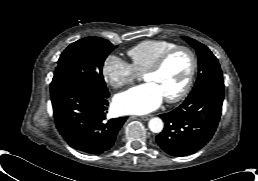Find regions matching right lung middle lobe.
I'll use <instances>...</instances> for the list:
<instances>
[{
    "label": "right lung middle lobe",
    "instance_id": "obj_1",
    "mask_svg": "<svg viewBox=\"0 0 258 181\" xmlns=\"http://www.w3.org/2000/svg\"><path fill=\"white\" fill-rule=\"evenodd\" d=\"M115 48L100 37H86L70 44L58 60L52 81H68L98 97H109L102 67L108 54Z\"/></svg>",
    "mask_w": 258,
    "mask_h": 181
}]
</instances>
